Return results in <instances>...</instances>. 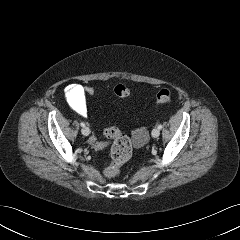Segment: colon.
Returning <instances> with one entry per match:
<instances>
[{"instance_id": "1", "label": "colon", "mask_w": 240, "mask_h": 240, "mask_svg": "<svg viewBox=\"0 0 240 240\" xmlns=\"http://www.w3.org/2000/svg\"><path fill=\"white\" fill-rule=\"evenodd\" d=\"M85 94L93 96L95 89L92 86L84 87ZM114 94L118 98H126L130 95V89L122 84L115 86ZM172 101V92L168 88L161 89L156 96L158 105L168 104ZM104 135L112 140L111 162L105 167L104 174L108 178L119 175L121 167L131 158L132 144L130 138L115 126L104 129Z\"/></svg>"}]
</instances>
